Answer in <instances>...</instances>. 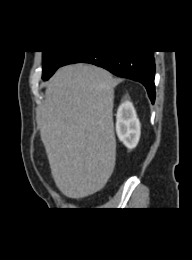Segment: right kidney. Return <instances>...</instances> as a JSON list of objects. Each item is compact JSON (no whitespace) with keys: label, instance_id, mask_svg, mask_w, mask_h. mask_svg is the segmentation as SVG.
I'll use <instances>...</instances> for the list:
<instances>
[{"label":"right kidney","instance_id":"1","mask_svg":"<svg viewBox=\"0 0 192 260\" xmlns=\"http://www.w3.org/2000/svg\"><path fill=\"white\" fill-rule=\"evenodd\" d=\"M141 126L133 104L129 101L122 103L116 116V133L119 140L129 149L137 146Z\"/></svg>","mask_w":192,"mask_h":260}]
</instances>
